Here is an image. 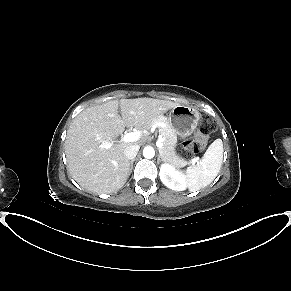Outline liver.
<instances>
[{"instance_id":"6515ba94","label":"liver","mask_w":291,"mask_h":291,"mask_svg":"<svg viewBox=\"0 0 291 291\" xmlns=\"http://www.w3.org/2000/svg\"><path fill=\"white\" fill-rule=\"evenodd\" d=\"M178 103L152 98L111 100L82 111L71 123L65 141L67 168L84 189L112 193L121 189L130 175V161L124 155L129 145H142L143 135L134 142H111L125 127L141 128ZM120 107L121 116L118 113ZM111 142L110 148L103 143Z\"/></svg>"}]
</instances>
